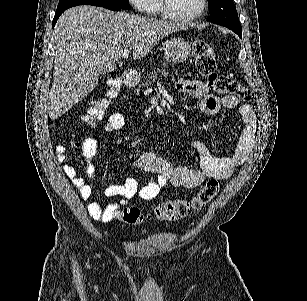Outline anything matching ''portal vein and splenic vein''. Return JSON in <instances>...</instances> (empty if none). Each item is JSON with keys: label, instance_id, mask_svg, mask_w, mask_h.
Here are the masks:
<instances>
[{"label": "portal vein and splenic vein", "instance_id": "18ae733b", "mask_svg": "<svg viewBox=\"0 0 307 301\" xmlns=\"http://www.w3.org/2000/svg\"><path fill=\"white\" fill-rule=\"evenodd\" d=\"M129 54H130L129 48H124L121 56H122V58H128Z\"/></svg>", "mask_w": 307, "mask_h": 301}]
</instances>
